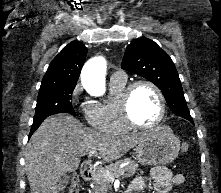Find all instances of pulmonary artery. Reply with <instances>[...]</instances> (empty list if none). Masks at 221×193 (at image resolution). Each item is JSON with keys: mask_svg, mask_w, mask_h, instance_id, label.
Masks as SVG:
<instances>
[{"mask_svg": "<svg viewBox=\"0 0 221 193\" xmlns=\"http://www.w3.org/2000/svg\"><path fill=\"white\" fill-rule=\"evenodd\" d=\"M112 79L123 80L126 79V73L122 70H117L113 75Z\"/></svg>", "mask_w": 221, "mask_h": 193, "instance_id": "obj_1", "label": "pulmonary artery"}]
</instances>
